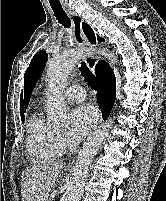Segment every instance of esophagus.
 <instances>
[{"instance_id": "esophagus-1", "label": "esophagus", "mask_w": 166, "mask_h": 201, "mask_svg": "<svg viewBox=\"0 0 166 201\" xmlns=\"http://www.w3.org/2000/svg\"><path fill=\"white\" fill-rule=\"evenodd\" d=\"M66 13L70 17L73 25V36L77 46L84 53V60L88 66V68L93 72L95 65L97 64V60H95L89 52H87V48L89 46V42L85 37L82 30L83 19L76 12L71 9H66ZM74 160H70L69 164H72Z\"/></svg>"}]
</instances>
